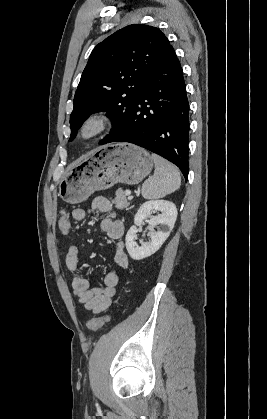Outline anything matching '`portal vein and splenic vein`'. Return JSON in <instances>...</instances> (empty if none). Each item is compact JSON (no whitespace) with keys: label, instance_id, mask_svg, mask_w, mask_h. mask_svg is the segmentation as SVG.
I'll return each instance as SVG.
<instances>
[{"label":"portal vein and splenic vein","instance_id":"1","mask_svg":"<svg viewBox=\"0 0 267 419\" xmlns=\"http://www.w3.org/2000/svg\"><path fill=\"white\" fill-rule=\"evenodd\" d=\"M125 194H126L127 196H130V195H131V191H130V190H126V191H125Z\"/></svg>","mask_w":267,"mask_h":419}]
</instances>
